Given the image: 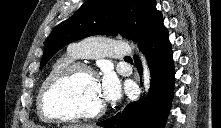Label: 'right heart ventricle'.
<instances>
[{"instance_id": "e07e8e85", "label": "right heart ventricle", "mask_w": 221, "mask_h": 128, "mask_svg": "<svg viewBox=\"0 0 221 128\" xmlns=\"http://www.w3.org/2000/svg\"><path fill=\"white\" fill-rule=\"evenodd\" d=\"M77 59V57L70 51L67 50L66 53H63L61 55H59L50 65L40 87H39V91L38 94L42 88V86L51 78L53 77L55 74H57L59 71H61L64 67H66L67 65L74 63L75 60ZM38 94H37V100H38ZM37 109H38V105H37Z\"/></svg>"}]
</instances>
